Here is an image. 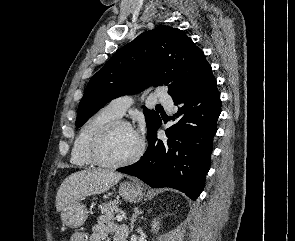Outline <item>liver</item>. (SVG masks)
<instances>
[{
	"instance_id": "6515ba94",
	"label": "liver",
	"mask_w": 295,
	"mask_h": 241,
	"mask_svg": "<svg viewBox=\"0 0 295 241\" xmlns=\"http://www.w3.org/2000/svg\"><path fill=\"white\" fill-rule=\"evenodd\" d=\"M123 175L105 169H88L68 176L56 194L57 211L87 196L102 194L118 183Z\"/></svg>"
}]
</instances>
